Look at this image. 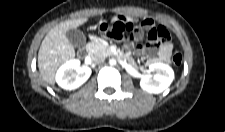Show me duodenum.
<instances>
[{"instance_id": "obj_1", "label": "duodenum", "mask_w": 225, "mask_h": 132, "mask_svg": "<svg viewBox=\"0 0 225 132\" xmlns=\"http://www.w3.org/2000/svg\"><path fill=\"white\" fill-rule=\"evenodd\" d=\"M83 54H84V55H86V54H87V52H86V51H84V52H83Z\"/></svg>"}]
</instances>
